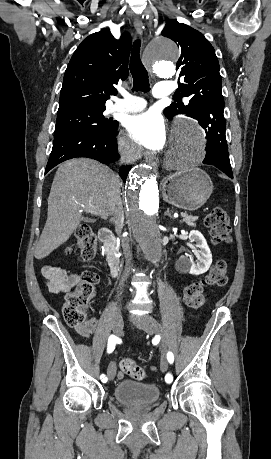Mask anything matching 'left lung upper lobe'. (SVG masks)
<instances>
[{
    "instance_id": "left-lung-upper-lobe-1",
    "label": "left lung upper lobe",
    "mask_w": 271,
    "mask_h": 459,
    "mask_svg": "<svg viewBox=\"0 0 271 459\" xmlns=\"http://www.w3.org/2000/svg\"><path fill=\"white\" fill-rule=\"evenodd\" d=\"M162 35L175 41L181 48V57L177 62L179 76L184 83H179L176 94L189 96V104L180 101L164 109L168 118L178 113L204 121L223 117L224 98L219 63L215 50L202 33L176 20L169 21Z\"/></svg>"
}]
</instances>
